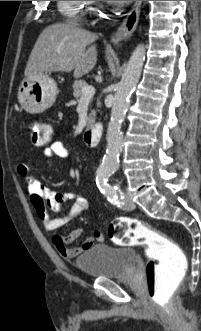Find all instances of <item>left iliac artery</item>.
Instances as JSON below:
<instances>
[{
  "instance_id": "1",
  "label": "left iliac artery",
  "mask_w": 201,
  "mask_h": 331,
  "mask_svg": "<svg viewBox=\"0 0 201 331\" xmlns=\"http://www.w3.org/2000/svg\"><path fill=\"white\" fill-rule=\"evenodd\" d=\"M115 169H107L103 170L102 172L98 173L96 178V183L98 188L101 190L102 193H104L107 197V199L119 206L121 204L119 197L116 194L117 187L114 188L111 187L107 182L110 178V176L115 172Z\"/></svg>"
}]
</instances>
